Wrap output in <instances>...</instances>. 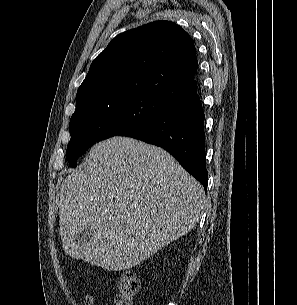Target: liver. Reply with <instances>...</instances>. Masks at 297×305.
Here are the masks:
<instances>
[{
    "mask_svg": "<svg viewBox=\"0 0 297 305\" xmlns=\"http://www.w3.org/2000/svg\"><path fill=\"white\" fill-rule=\"evenodd\" d=\"M200 183L165 150L128 137L95 144L61 185L59 232L73 259L130 269L187 234L205 206ZM95 236L77 246L85 229Z\"/></svg>",
    "mask_w": 297,
    "mask_h": 305,
    "instance_id": "6515ba94",
    "label": "liver"
}]
</instances>
